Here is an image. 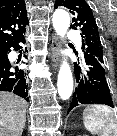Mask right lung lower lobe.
Segmentation results:
<instances>
[{
	"label": "right lung lower lobe",
	"instance_id": "1",
	"mask_svg": "<svg viewBox=\"0 0 117 136\" xmlns=\"http://www.w3.org/2000/svg\"><path fill=\"white\" fill-rule=\"evenodd\" d=\"M24 33L12 42L9 48L0 53V91H9L28 101V84L26 74L16 63H11L7 57L10 48L19 50V43H24ZM19 61H17L18 63Z\"/></svg>",
	"mask_w": 117,
	"mask_h": 136
}]
</instances>
